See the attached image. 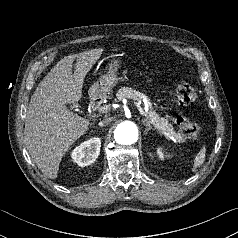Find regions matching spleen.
<instances>
[{
	"mask_svg": "<svg viewBox=\"0 0 238 238\" xmlns=\"http://www.w3.org/2000/svg\"><path fill=\"white\" fill-rule=\"evenodd\" d=\"M205 153H206V148L203 147L199 153L197 154V156L195 157L194 160V165L192 168V171H196V168L200 167V165L203 164L204 160H205Z\"/></svg>",
	"mask_w": 238,
	"mask_h": 238,
	"instance_id": "1",
	"label": "spleen"
}]
</instances>
